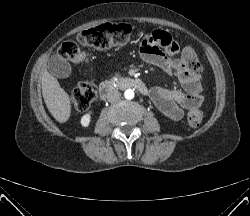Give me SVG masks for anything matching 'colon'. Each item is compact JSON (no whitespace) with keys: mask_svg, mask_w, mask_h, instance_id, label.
Returning <instances> with one entry per match:
<instances>
[{"mask_svg":"<svg viewBox=\"0 0 250 216\" xmlns=\"http://www.w3.org/2000/svg\"><path fill=\"white\" fill-rule=\"evenodd\" d=\"M133 29L128 24L106 23L81 32L77 41L80 45L95 48L108 49L111 47H123L131 42ZM78 43L73 41L64 42L59 50V56L72 63H84L87 61L86 53ZM181 66L192 74L201 71V64L195 49L185 46L180 53ZM96 98V87L91 82H83L77 85L71 93V101L75 110H87ZM204 113L200 107L191 109L187 115L188 123L191 126H198Z\"/></svg>","mask_w":250,"mask_h":216,"instance_id":"colon-1","label":"colon"}]
</instances>
